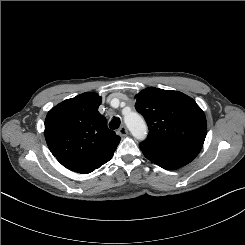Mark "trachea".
Returning a JSON list of instances; mask_svg holds the SVG:
<instances>
[{
	"label": "trachea",
	"instance_id": "obj_1",
	"mask_svg": "<svg viewBox=\"0 0 245 245\" xmlns=\"http://www.w3.org/2000/svg\"><path fill=\"white\" fill-rule=\"evenodd\" d=\"M119 126H120V119L118 117H114L109 123V127L113 130L119 128Z\"/></svg>",
	"mask_w": 245,
	"mask_h": 245
}]
</instances>
